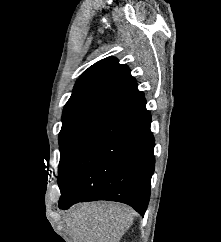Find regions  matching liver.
<instances>
[{"mask_svg": "<svg viewBox=\"0 0 221 242\" xmlns=\"http://www.w3.org/2000/svg\"><path fill=\"white\" fill-rule=\"evenodd\" d=\"M134 211L110 202L84 203L65 219L73 242H119L133 223Z\"/></svg>", "mask_w": 221, "mask_h": 242, "instance_id": "6515ba94", "label": "liver"}]
</instances>
